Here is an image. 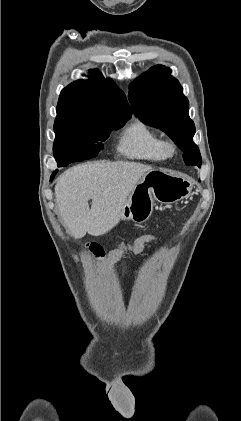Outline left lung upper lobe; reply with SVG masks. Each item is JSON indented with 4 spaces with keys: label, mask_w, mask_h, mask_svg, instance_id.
I'll use <instances>...</instances> for the list:
<instances>
[{
    "label": "left lung upper lobe",
    "mask_w": 241,
    "mask_h": 421,
    "mask_svg": "<svg viewBox=\"0 0 241 421\" xmlns=\"http://www.w3.org/2000/svg\"><path fill=\"white\" fill-rule=\"evenodd\" d=\"M170 73L162 65L149 69L129 87V101L136 117L168 134L183 151L186 164L200 167L199 148L192 140L195 126L188 115L189 102Z\"/></svg>",
    "instance_id": "left-lung-upper-lobe-1"
}]
</instances>
